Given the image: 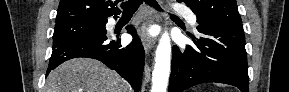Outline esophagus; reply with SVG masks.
<instances>
[{
    "label": "esophagus",
    "instance_id": "obj_1",
    "mask_svg": "<svg viewBox=\"0 0 289 92\" xmlns=\"http://www.w3.org/2000/svg\"><path fill=\"white\" fill-rule=\"evenodd\" d=\"M147 21L144 23V25L141 27L140 30V38L142 41V44L144 46V49L147 53L155 46L156 40L153 37H150L147 34L146 27L147 25L153 24L155 22L159 21V17L157 12L153 8H147Z\"/></svg>",
    "mask_w": 289,
    "mask_h": 92
}]
</instances>
